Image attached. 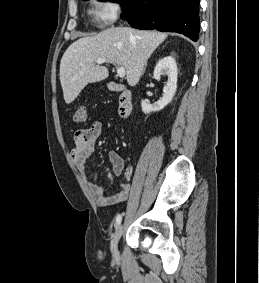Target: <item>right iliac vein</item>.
<instances>
[{
	"mask_svg": "<svg viewBox=\"0 0 259 283\" xmlns=\"http://www.w3.org/2000/svg\"><path fill=\"white\" fill-rule=\"evenodd\" d=\"M123 231H124V227L123 225H120L114 236H113V239L111 241V251H112V254L115 258H118L119 257V250H118V242L123 234Z\"/></svg>",
	"mask_w": 259,
	"mask_h": 283,
	"instance_id": "63e3f726",
	"label": "right iliac vein"
}]
</instances>
